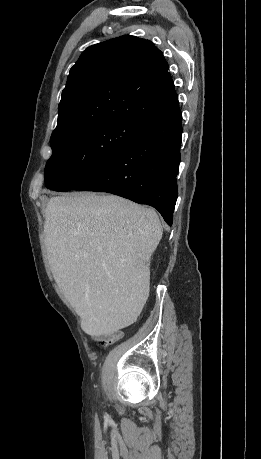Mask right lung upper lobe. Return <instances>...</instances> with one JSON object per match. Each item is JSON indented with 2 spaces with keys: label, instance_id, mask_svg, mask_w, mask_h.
Masks as SVG:
<instances>
[{
  "label": "right lung upper lobe",
  "instance_id": "right-lung-upper-lobe-1",
  "mask_svg": "<svg viewBox=\"0 0 261 459\" xmlns=\"http://www.w3.org/2000/svg\"><path fill=\"white\" fill-rule=\"evenodd\" d=\"M169 66L146 39L121 36L87 48L70 69L53 138L117 120L148 125L179 106Z\"/></svg>",
  "mask_w": 261,
  "mask_h": 459
}]
</instances>
